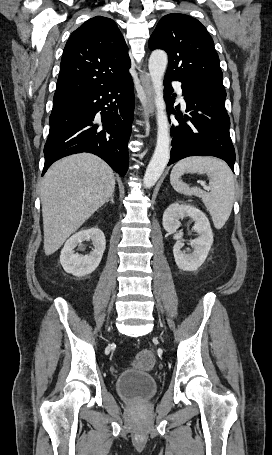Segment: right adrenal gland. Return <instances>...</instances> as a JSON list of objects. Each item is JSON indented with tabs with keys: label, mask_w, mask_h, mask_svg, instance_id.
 <instances>
[{
	"label": "right adrenal gland",
	"mask_w": 272,
	"mask_h": 455,
	"mask_svg": "<svg viewBox=\"0 0 272 455\" xmlns=\"http://www.w3.org/2000/svg\"><path fill=\"white\" fill-rule=\"evenodd\" d=\"M109 201H110L112 204H114V194H112V195L110 196V198H109L106 202H109Z\"/></svg>",
	"instance_id": "1"
}]
</instances>
